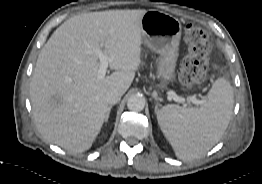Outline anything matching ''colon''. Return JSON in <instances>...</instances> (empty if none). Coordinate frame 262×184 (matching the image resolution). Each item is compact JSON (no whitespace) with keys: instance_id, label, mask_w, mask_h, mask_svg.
<instances>
[{"instance_id":"1","label":"colon","mask_w":262,"mask_h":184,"mask_svg":"<svg viewBox=\"0 0 262 184\" xmlns=\"http://www.w3.org/2000/svg\"><path fill=\"white\" fill-rule=\"evenodd\" d=\"M184 39L187 55L181 64L179 77L184 86L193 88L206 79L211 43L208 34L194 25L185 28Z\"/></svg>"}]
</instances>
